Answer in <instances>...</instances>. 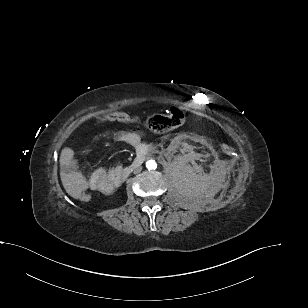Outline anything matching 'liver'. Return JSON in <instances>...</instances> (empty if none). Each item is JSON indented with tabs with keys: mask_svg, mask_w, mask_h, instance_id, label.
Returning <instances> with one entry per match:
<instances>
[{
	"mask_svg": "<svg viewBox=\"0 0 308 308\" xmlns=\"http://www.w3.org/2000/svg\"><path fill=\"white\" fill-rule=\"evenodd\" d=\"M62 183L64 185L65 190L67 191V193H69L71 196H74L73 191L71 190V187L68 183V179L65 175H62Z\"/></svg>",
	"mask_w": 308,
	"mask_h": 308,
	"instance_id": "1",
	"label": "liver"
}]
</instances>
